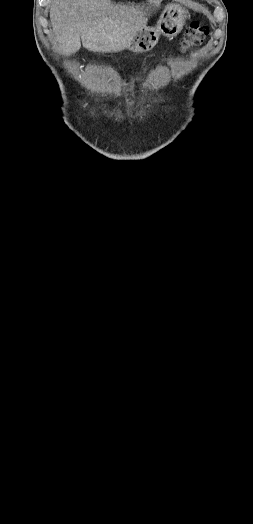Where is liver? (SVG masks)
I'll return each mask as SVG.
<instances>
[{
  "instance_id": "6515ba94",
  "label": "liver",
  "mask_w": 253,
  "mask_h": 524,
  "mask_svg": "<svg viewBox=\"0 0 253 524\" xmlns=\"http://www.w3.org/2000/svg\"><path fill=\"white\" fill-rule=\"evenodd\" d=\"M121 4L109 0H53L50 20L54 43L62 55H71L81 48L99 53L127 49L134 34L143 28L152 6Z\"/></svg>"
}]
</instances>
